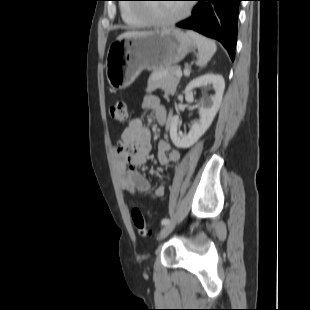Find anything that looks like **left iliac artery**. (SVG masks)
Returning <instances> with one entry per match:
<instances>
[{
  "instance_id": "obj_1",
  "label": "left iliac artery",
  "mask_w": 310,
  "mask_h": 310,
  "mask_svg": "<svg viewBox=\"0 0 310 310\" xmlns=\"http://www.w3.org/2000/svg\"><path fill=\"white\" fill-rule=\"evenodd\" d=\"M170 223V220L168 218H164L162 221H161V224L162 225H167Z\"/></svg>"
}]
</instances>
